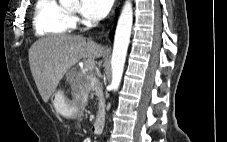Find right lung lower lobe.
I'll use <instances>...</instances> for the list:
<instances>
[{"label": "right lung lower lobe", "mask_w": 227, "mask_h": 142, "mask_svg": "<svg viewBox=\"0 0 227 142\" xmlns=\"http://www.w3.org/2000/svg\"><path fill=\"white\" fill-rule=\"evenodd\" d=\"M110 36H111V37L113 36V31L110 33Z\"/></svg>", "instance_id": "obj_1"}]
</instances>
